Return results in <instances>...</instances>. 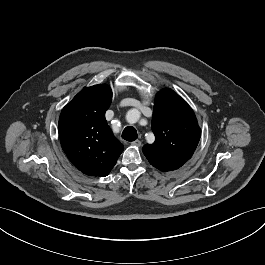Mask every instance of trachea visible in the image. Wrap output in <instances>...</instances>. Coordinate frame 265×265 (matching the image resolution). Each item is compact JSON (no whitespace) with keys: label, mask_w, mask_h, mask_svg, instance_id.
Listing matches in <instances>:
<instances>
[{"label":"trachea","mask_w":265,"mask_h":265,"mask_svg":"<svg viewBox=\"0 0 265 265\" xmlns=\"http://www.w3.org/2000/svg\"><path fill=\"white\" fill-rule=\"evenodd\" d=\"M122 138L129 142L135 141L138 138L136 129L132 126L126 127L122 132Z\"/></svg>","instance_id":"3493384b"}]
</instances>
